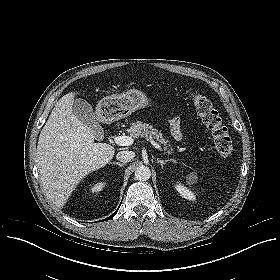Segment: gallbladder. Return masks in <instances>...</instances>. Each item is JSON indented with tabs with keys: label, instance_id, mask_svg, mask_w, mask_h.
Listing matches in <instances>:
<instances>
[{
	"label": "gallbladder",
	"instance_id": "1",
	"mask_svg": "<svg viewBox=\"0 0 280 280\" xmlns=\"http://www.w3.org/2000/svg\"><path fill=\"white\" fill-rule=\"evenodd\" d=\"M74 115L85 125L89 126L97 140L103 139V128L97 120V116L90 103L82 98L75 99L72 105Z\"/></svg>",
	"mask_w": 280,
	"mask_h": 280
}]
</instances>
